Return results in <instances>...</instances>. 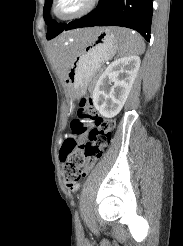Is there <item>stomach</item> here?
Listing matches in <instances>:
<instances>
[{
	"mask_svg": "<svg viewBox=\"0 0 183 246\" xmlns=\"http://www.w3.org/2000/svg\"><path fill=\"white\" fill-rule=\"evenodd\" d=\"M120 28H98L92 39L82 42H64V48L71 56V66L64 80L71 99L86 91L88 82L99 71L104 61L118 50ZM90 61V62H80Z\"/></svg>",
	"mask_w": 183,
	"mask_h": 246,
	"instance_id": "obj_1",
	"label": "stomach"
}]
</instances>
